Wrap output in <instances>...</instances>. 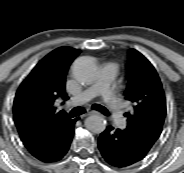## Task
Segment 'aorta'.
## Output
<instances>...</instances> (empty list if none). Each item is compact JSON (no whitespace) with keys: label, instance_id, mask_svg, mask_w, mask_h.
<instances>
[{"label":"aorta","instance_id":"obj_1","mask_svg":"<svg viewBox=\"0 0 184 173\" xmlns=\"http://www.w3.org/2000/svg\"><path fill=\"white\" fill-rule=\"evenodd\" d=\"M77 68L79 69L80 80L82 82L91 83L95 79L96 69L91 62L83 64ZM106 125V120L101 116L95 115L88 119V126L94 132H103L106 129Z\"/></svg>","mask_w":184,"mask_h":173}]
</instances>
